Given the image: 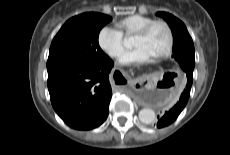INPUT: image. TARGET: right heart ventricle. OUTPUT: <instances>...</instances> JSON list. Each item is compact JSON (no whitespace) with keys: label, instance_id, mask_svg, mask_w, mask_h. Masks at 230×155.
<instances>
[{"label":"right heart ventricle","instance_id":"obj_1","mask_svg":"<svg viewBox=\"0 0 230 155\" xmlns=\"http://www.w3.org/2000/svg\"><path fill=\"white\" fill-rule=\"evenodd\" d=\"M154 21L153 18L142 16V15H132L126 17L119 21L116 25L120 29L121 33L126 36H131L136 34L144 26Z\"/></svg>","mask_w":230,"mask_h":155}]
</instances>
